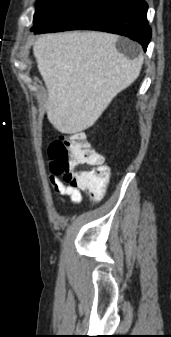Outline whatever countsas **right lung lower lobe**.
Wrapping results in <instances>:
<instances>
[{
	"mask_svg": "<svg viewBox=\"0 0 171 337\" xmlns=\"http://www.w3.org/2000/svg\"><path fill=\"white\" fill-rule=\"evenodd\" d=\"M147 10L144 0H70L55 16L33 31L86 29L111 32L138 41L146 50L151 39Z\"/></svg>",
	"mask_w": 171,
	"mask_h": 337,
	"instance_id": "right-lung-lower-lobe-1",
	"label": "right lung lower lobe"
}]
</instances>
